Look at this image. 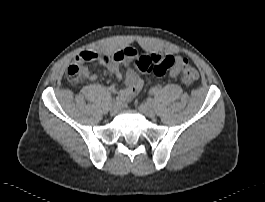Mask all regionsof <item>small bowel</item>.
Masks as SVG:
<instances>
[{
	"mask_svg": "<svg viewBox=\"0 0 265 202\" xmlns=\"http://www.w3.org/2000/svg\"><path fill=\"white\" fill-rule=\"evenodd\" d=\"M127 51L134 52L132 48H128ZM114 55H107L95 51L84 50L76 55L74 62L80 65L90 62H99L106 67L111 75L115 76L117 81H121L124 78L126 86L123 89L118 91L116 84L113 83L107 87V90L111 93H118L123 101H130L141 91L144 85V81L130 68L133 56H125L121 59H116ZM174 59L175 64L170 71V77L173 79H175L179 75V72L181 70V62L182 60H184L179 55L174 56ZM121 67L127 69L124 76L121 72ZM84 77L89 81H94L97 79V75L86 67L84 68Z\"/></svg>",
	"mask_w": 265,
	"mask_h": 202,
	"instance_id": "1",
	"label": "small bowel"
}]
</instances>
